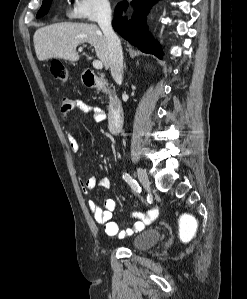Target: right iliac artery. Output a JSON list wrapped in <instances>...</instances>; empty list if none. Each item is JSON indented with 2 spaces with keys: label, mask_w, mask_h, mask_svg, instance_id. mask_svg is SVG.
Returning <instances> with one entry per match:
<instances>
[{
  "label": "right iliac artery",
  "mask_w": 247,
  "mask_h": 299,
  "mask_svg": "<svg viewBox=\"0 0 247 299\" xmlns=\"http://www.w3.org/2000/svg\"><path fill=\"white\" fill-rule=\"evenodd\" d=\"M123 179H125L126 182H128L131 186V188L136 192V193H140L141 192V187L139 186V184L137 183L136 180L131 179L129 177L128 174H124L123 175Z\"/></svg>",
  "instance_id": "82829eb1"
}]
</instances>
